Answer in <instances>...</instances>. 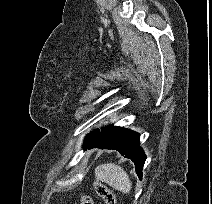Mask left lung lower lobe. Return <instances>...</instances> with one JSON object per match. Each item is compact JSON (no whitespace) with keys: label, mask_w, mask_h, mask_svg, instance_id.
Wrapping results in <instances>:
<instances>
[{"label":"left lung lower lobe","mask_w":212,"mask_h":204,"mask_svg":"<svg viewBox=\"0 0 212 204\" xmlns=\"http://www.w3.org/2000/svg\"><path fill=\"white\" fill-rule=\"evenodd\" d=\"M139 134L118 126H110L102 130L90 133L84 145L85 149L101 148L115 149L125 158L131 159L135 166L138 176L142 177V167L146 156L139 146Z\"/></svg>","instance_id":"left-lung-lower-lobe-1"}]
</instances>
